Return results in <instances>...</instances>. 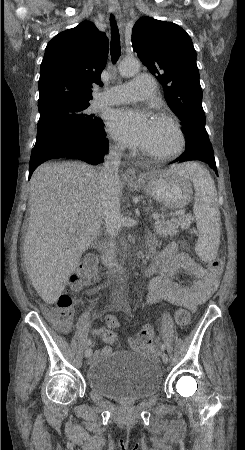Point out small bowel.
<instances>
[{
	"instance_id": "c3829d8e",
	"label": "small bowel",
	"mask_w": 245,
	"mask_h": 450,
	"mask_svg": "<svg viewBox=\"0 0 245 450\" xmlns=\"http://www.w3.org/2000/svg\"><path fill=\"white\" fill-rule=\"evenodd\" d=\"M147 254L154 262L149 266L146 275H153L147 283L149 296L148 304H153L163 299L171 304L184 306L189 311L195 312L197 307L205 302L215 291L219 283V273L210 268L200 267L190 256L179 252L176 242L168 243L161 251H157V242L153 236L147 240ZM180 273H185L196 278V281L188 287L182 286L176 281ZM90 293L93 290L89 291ZM120 307V304L116 305ZM115 325L108 328H117ZM103 330H93V333ZM131 345L134 343L131 341ZM112 352L110 346H105L96 352L97 355H108Z\"/></svg>"
}]
</instances>
